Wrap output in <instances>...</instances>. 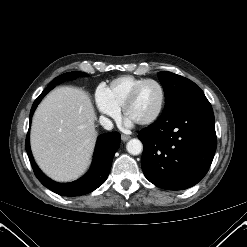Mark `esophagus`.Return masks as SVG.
<instances>
[{
	"mask_svg": "<svg viewBox=\"0 0 247 247\" xmlns=\"http://www.w3.org/2000/svg\"><path fill=\"white\" fill-rule=\"evenodd\" d=\"M121 139H122V141H128L129 139H130V136H128V135H125V134H122L121 135Z\"/></svg>",
	"mask_w": 247,
	"mask_h": 247,
	"instance_id": "1",
	"label": "esophagus"
}]
</instances>
